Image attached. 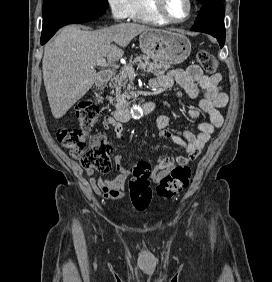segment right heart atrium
<instances>
[{"label":"right heart atrium","instance_id":"d8ad5b80","mask_svg":"<svg viewBox=\"0 0 272 282\" xmlns=\"http://www.w3.org/2000/svg\"><path fill=\"white\" fill-rule=\"evenodd\" d=\"M135 0H106L111 17L115 21L130 19L136 10Z\"/></svg>","mask_w":272,"mask_h":282}]
</instances>
